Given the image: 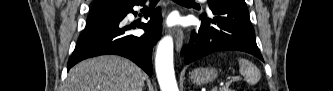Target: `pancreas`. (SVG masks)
<instances>
[{
  "instance_id": "1",
  "label": "pancreas",
  "mask_w": 333,
  "mask_h": 91,
  "mask_svg": "<svg viewBox=\"0 0 333 91\" xmlns=\"http://www.w3.org/2000/svg\"><path fill=\"white\" fill-rule=\"evenodd\" d=\"M220 91H231L230 89H222Z\"/></svg>"
}]
</instances>
